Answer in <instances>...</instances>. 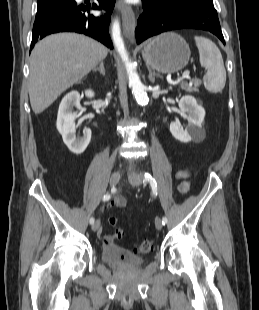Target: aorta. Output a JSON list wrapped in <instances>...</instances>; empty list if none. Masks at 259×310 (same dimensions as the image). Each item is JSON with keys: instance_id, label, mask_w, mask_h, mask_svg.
<instances>
[{"instance_id": "762f6f07", "label": "aorta", "mask_w": 259, "mask_h": 310, "mask_svg": "<svg viewBox=\"0 0 259 310\" xmlns=\"http://www.w3.org/2000/svg\"><path fill=\"white\" fill-rule=\"evenodd\" d=\"M112 40L117 49V52L125 63L127 70L129 86L132 88V93L136 98V101L140 105H146L149 102V98L145 91V86L142 84L138 74L135 72L133 63L129 60L127 51L125 49L124 41L121 37L120 23L118 19L114 20L112 25Z\"/></svg>"}]
</instances>
